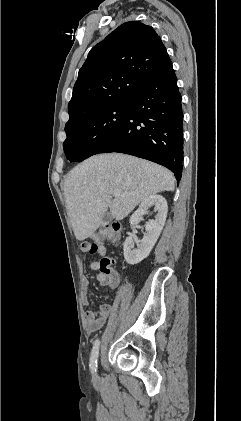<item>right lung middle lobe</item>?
<instances>
[{"mask_svg":"<svg viewBox=\"0 0 241 421\" xmlns=\"http://www.w3.org/2000/svg\"><path fill=\"white\" fill-rule=\"evenodd\" d=\"M128 104V101L112 104L66 126L63 148L67 159L81 162L94 155L123 126Z\"/></svg>","mask_w":241,"mask_h":421,"instance_id":"dd1d6c3e","label":"right lung middle lobe"}]
</instances>
